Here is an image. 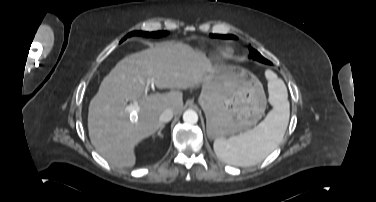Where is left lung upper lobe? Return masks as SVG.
<instances>
[{"mask_svg":"<svg viewBox=\"0 0 376 202\" xmlns=\"http://www.w3.org/2000/svg\"><path fill=\"white\" fill-rule=\"evenodd\" d=\"M213 38H220V39H236L234 35H219V34H210ZM250 56L252 59L257 60L262 63L271 64L270 61L265 59L260 53H258L255 49L250 48Z\"/></svg>","mask_w":376,"mask_h":202,"instance_id":"obj_1","label":"left lung upper lobe"}]
</instances>
